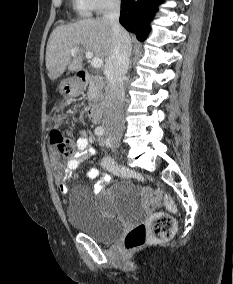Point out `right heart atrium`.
Returning <instances> with one entry per match:
<instances>
[{"label": "right heart atrium", "mask_w": 233, "mask_h": 284, "mask_svg": "<svg viewBox=\"0 0 233 284\" xmlns=\"http://www.w3.org/2000/svg\"><path fill=\"white\" fill-rule=\"evenodd\" d=\"M90 10L101 13L106 9L112 8L120 2V0H86Z\"/></svg>", "instance_id": "obj_1"}]
</instances>
